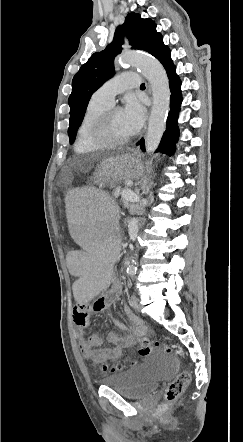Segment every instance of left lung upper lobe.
Wrapping results in <instances>:
<instances>
[{"mask_svg": "<svg viewBox=\"0 0 243 442\" xmlns=\"http://www.w3.org/2000/svg\"><path fill=\"white\" fill-rule=\"evenodd\" d=\"M124 35L127 36L132 49L143 50L150 54L162 41L161 34L156 31L155 22L150 18L142 19L134 12L127 15L125 23L116 29L113 42L103 51L94 53L72 80V93L68 99L70 143L75 140L76 131L83 121L91 95L114 75L113 61L122 51Z\"/></svg>", "mask_w": 243, "mask_h": 442, "instance_id": "5c2ea615", "label": "left lung upper lobe"}]
</instances>
